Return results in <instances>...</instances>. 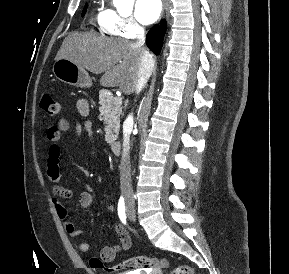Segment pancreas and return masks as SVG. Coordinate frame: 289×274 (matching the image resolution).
Here are the masks:
<instances>
[{
    "label": "pancreas",
    "mask_w": 289,
    "mask_h": 274,
    "mask_svg": "<svg viewBox=\"0 0 289 274\" xmlns=\"http://www.w3.org/2000/svg\"><path fill=\"white\" fill-rule=\"evenodd\" d=\"M99 111L104 121L105 126V140L107 143H113L119 133L120 115L122 113L121 103L108 90H101L99 93Z\"/></svg>",
    "instance_id": "cf45deb5"
}]
</instances>
